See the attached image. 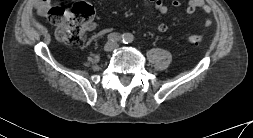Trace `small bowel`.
Masks as SVG:
<instances>
[{"instance_id": "c3829d8e", "label": "small bowel", "mask_w": 253, "mask_h": 138, "mask_svg": "<svg viewBox=\"0 0 253 138\" xmlns=\"http://www.w3.org/2000/svg\"><path fill=\"white\" fill-rule=\"evenodd\" d=\"M52 0H37L35 3V9L38 14L44 15L51 8ZM154 8L160 13H166L168 11V6L163 0H151ZM172 7L175 9L180 8L181 2L179 0L172 1ZM201 9L208 16L205 25L209 27L212 24V20L209 18L211 13V8L204 2V0H189L186 7V12L188 14L194 13L196 10ZM92 27L91 25L88 27ZM168 24L164 21H161L157 24L156 30L159 33H165L168 30Z\"/></svg>"}]
</instances>
